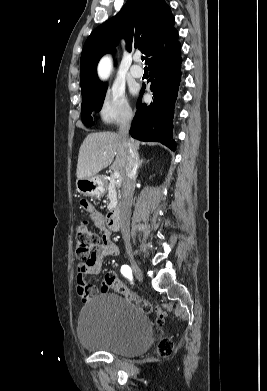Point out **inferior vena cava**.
Returning a JSON list of instances; mask_svg holds the SVG:
<instances>
[{
    "label": "inferior vena cava",
    "mask_w": 267,
    "mask_h": 391,
    "mask_svg": "<svg viewBox=\"0 0 267 391\" xmlns=\"http://www.w3.org/2000/svg\"><path fill=\"white\" fill-rule=\"evenodd\" d=\"M131 120L132 115L129 113L121 120L118 132L127 150V162L125 166V172L122 177V198L120 206V229L127 251L131 250L129 234L130 212L134 192V182L139 164V155L137 149L128 139Z\"/></svg>",
    "instance_id": "inferior-vena-cava-1"
}]
</instances>
